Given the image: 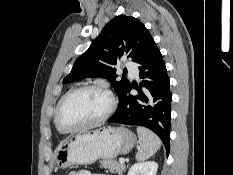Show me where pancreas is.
Returning <instances> with one entry per match:
<instances>
[{
  "label": "pancreas",
  "instance_id": "1",
  "mask_svg": "<svg viewBox=\"0 0 233 175\" xmlns=\"http://www.w3.org/2000/svg\"><path fill=\"white\" fill-rule=\"evenodd\" d=\"M100 163L102 168H106L112 173H118V175H122V172L125 169L124 164H121L114 159H103Z\"/></svg>",
  "mask_w": 233,
  "mask_h": 175
}]
</instances>
